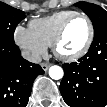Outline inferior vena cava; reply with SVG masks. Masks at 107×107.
Returning a JSON list of instances; mask_svg holds the SVG:
<instances>
[{
    "label": "inferior vena cava",
    "instance_id": "602c4592",
    "mask_svg": "<svg viewBox=\"0 0 107 107\" xmlns=\"http://www.w3.org/2000/svg\"><path fill=\"white\" fill-rule=\"evenodd\" d=\"M22 57L32 63H40L42 61V58L38 53H33L27 50L22 51Z\"/></svg>",
    "mask_w": 107,
    "mask_h": 107
}]
</instances>
